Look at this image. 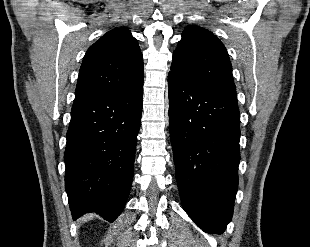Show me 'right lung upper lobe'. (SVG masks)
I'll return each instance as SVG.
<instances>
[{"mask_svg":"<svg viewBox=\"0 0 310 247\" xmlns=\"http://www.w3.org/2000/svg\"><path fill=\"white\" fill-rule=\"evenodd\" d=\"M143 84V58L127 28L108 31L86 52L75 98L127 91Z\"/></svg>","mask_w":310,"mask_h":247,"instance_id":"right-lung-upper-lobe-1","label":"right lung upper lobe"}]
</instances>
